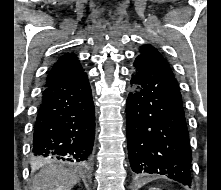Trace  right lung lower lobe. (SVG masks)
Masks as SVG:
<instances>
[{"label": "right lung lower lobe", "mask_w": 221, "mask_h": 190, "mask_svg": "<svg viewBox=\"0 0 221 190\" xmlns=\"http://www.w3.org/2000/svg\"><path fill=\"white\" fill-rule=\"evenodd\" d=\"M94 136V103L85 72L43 90L33 128V156L85 166Z\"/></svg>", "instance_id": "right-lung-lower-lobe-1"}]
</instances>
